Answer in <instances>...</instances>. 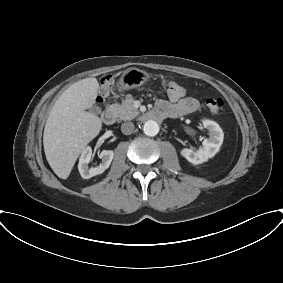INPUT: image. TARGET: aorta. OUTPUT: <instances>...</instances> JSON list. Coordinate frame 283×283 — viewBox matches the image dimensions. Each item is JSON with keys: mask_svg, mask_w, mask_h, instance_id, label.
<instances>
[{"mask_svg": "<svg viewBox=\"0 0 283 283\" xmlns=\"http://www.w3.org/2000/svg\"><path fill=\"white\" fill-rule=\"evenodd\" d=\"M143 131L147 136H156L159 133V125L153 120H148L143 126Z\"/></svg>", "mask_w": 283, "mask_h": 283, "instance_id": "1", "label": "aorta"}]
</instances>
